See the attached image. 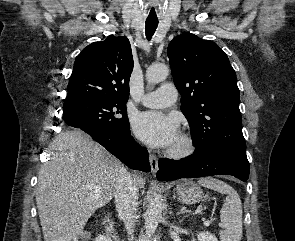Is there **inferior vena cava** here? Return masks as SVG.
Masks as SVG:
<instances>
[{"instance_id":"602c4592","label":"inferior vena cava","mask_w":295,"mask_h":241,"mask_svg":"<svg viewBox=\"0 0 295 241\" xmlns=\"http://www.w3.org/2000/svg\"><path fill=\"white\" fill-rule=\"evenodd\" d=\"M115 205L119 217L124 221L129 240H133L135 213L138 204V187L131 174L121 167L115 175Z\"/></svg>"}]
</instances>
